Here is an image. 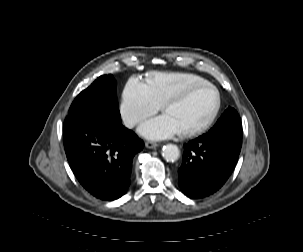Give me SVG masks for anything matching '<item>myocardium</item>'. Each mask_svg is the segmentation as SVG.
<instances>
[{"mask_svg": "<svg viewBox=\"0 0 303 252\" xmlns=\"http://www.w3.org/2000/svg\"><path fill=\"white\" fill-rule=\"evenodd\" d=\"M202 87H209L210 89L213 90V92L215 94V106H214L209 118L202 125L192 128V129L180 130V134L183 137H190V136H193V135H196L198 133L205 131L212 125V123L216 119V117L219 113V110H220V106H221V96H220V93H219L218 89L216 88V86L208 81L201 82L200 84L196 85L195 87H193L190 90H188L187 92H185L180 97L168 100L162 107L163 111L166 112L172 105L179 104V103L185 101L194 91H196L197 89L202 88Z\"/></svg>", "mask_w": 303, "mask_h": 252, "instance_id": "myocardium-1", "label": "myocardium"}]
</instances>
